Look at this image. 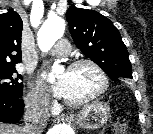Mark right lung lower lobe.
I'll return each instance as SVG.
<instances>
[{"mask_svg": "<svg viewBox=\"0 0 153 134\" xmlns=\"http://www.w3.org/2000/svg\"><path fill=\"white\" fill-rule=\"evenodd\" d=\"M23 108L21 97L0 93V122L17 123L22 117Z\"/></svg>", "mask_w": 153, "mask_h": 134, "instance_id": "1", "label": "right lung lower lobe"}]
</instances>
